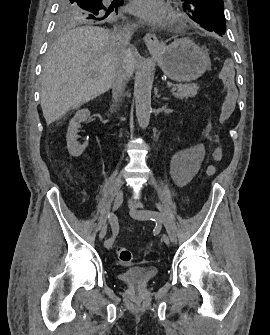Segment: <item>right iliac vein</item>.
Segmentation results:
<instances>
[{"label": "right iliac vein", "mask_w": 270, "mask_h": 335, "mask_svg": "<svg viewBox=\"0 0 270 335\" xmlns=\"http://www.w3.org/2000/svg\"><path fill=\"white\" fill-rule=\"evenodd\" d=\"M122 202H123V192L118 191L115 195V198H114L113 210L114 211L117 210L121 206ZM106 233H107V226H104L99 233V239L100 240L103 239L105 237Z\"/></svg>", "instance_id": "obj_1"}]
</instances>
